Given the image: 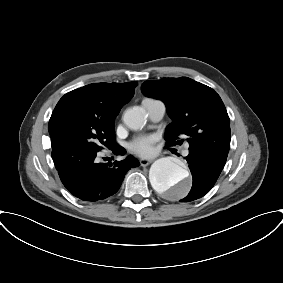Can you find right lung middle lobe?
I'll list each match as a JSON object with an SVG mask.
<instances>
[{"mask_svg": "<svg viewBox=\"0 0 283 283\" xmlns=\"http://www.w3.org/2000/svg\"><path fill=\"white\" fill-rule=\"evenodd\" d=\"M114 124H105L74 103L55 108L49 121L52 158L62 161L84 149H111L115 143Z\"/></svg>", "mask_w": 283, "mask_h": 283, "instance_id": "dd1d6c3e", "label": "right lung middle lobe"}]
</instances>
